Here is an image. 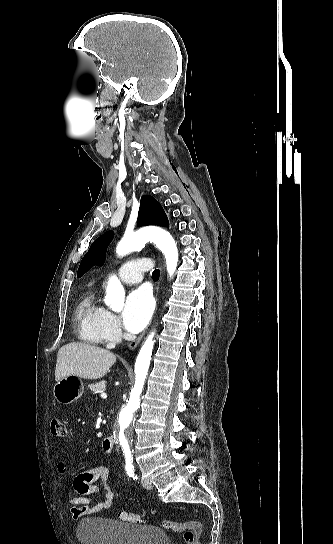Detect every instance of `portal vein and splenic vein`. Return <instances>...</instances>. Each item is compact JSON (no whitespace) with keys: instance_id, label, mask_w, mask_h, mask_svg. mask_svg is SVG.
Wrapping results in <instances>:
<instances>
[{"instance_id":"portal-vein-and-splenic-vein-1","label":"portal vein and splenic vein","mask_w":333,"mask_h":544,"mask_svg":"<svg viewBox=\"0 0 333 544\" xmlns=\"http://www.w3.org/2000/svg\"><path fill=\"white\" fill-rule=\"evenodd\" d=\"M101 398H107V394L106 393H101Z\"/></svg>"}]
</instances>
